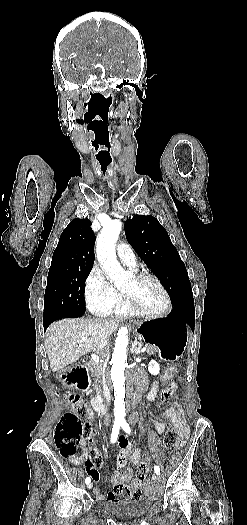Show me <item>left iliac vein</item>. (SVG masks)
I'll return each mask as SVG.
<instances>
[{
	"instance_id": "obj_1",
	"label": "left iliac vein",
	"mask_w": 247,
	"mask_h": 525,
	"mask_svg": "<svg viewBox=\"0 0 247 525\" xmlns=\"http://www.w3.org/2000/svg\"><path fill=\"white\" fill-rule=\"evenodd\" d=\"M156 479H157V476L155 474H152V480L156 481Z\"/></svg>"
}]
</instances>
